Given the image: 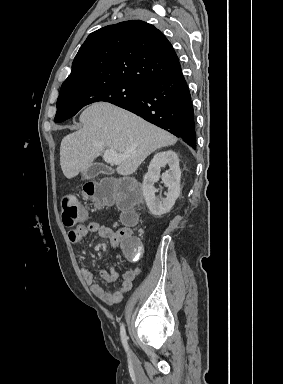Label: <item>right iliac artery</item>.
I'll return each instance as SVG.
<instances>
[{
	"label": "right iliac artery",
	"mask_w": 283,
	"mask_h": 384,
	"mask_svg": "<svg viewBox=\"0 0 283 384\" xmlns=\"http://www.w3.org/2000/svg\"><path fill=\"white\" fill-rule=\"evenodd\" d=\"M120 335H121L122 344H123L126 352L128 354H130L129 347H128V344H127V335H126L124 324H121Z\"/></svg>",
	"instance_id": "obj_1"
}]
</instances>
